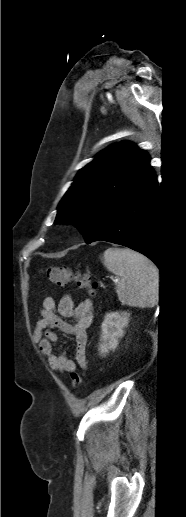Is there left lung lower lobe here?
I'll use <instances>...</instances> for the list:
<instances>
[{
	"label": "left lung lower lobe",
	"mask_w": 186,
	"mask_h": 517,
	"mask_svg": "<svg viewBox=\"0 0 186 517\" xmlns=\"http://www.w3.org/2000/svg\"><path fill=\"white\" fill-rule=\"evenodd\" d=\"M158 209L157 177L149 167L107 212L89 243L103 240L129 247L147 256L162 270L157 250Z\"/></svg>",
	"instance_id": "obj_1"
}]
</instances>
